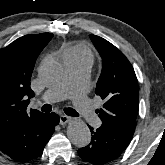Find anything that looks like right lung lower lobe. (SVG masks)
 I'll list each match as a JSON object with an SVG mask.
<instances>
[{
  "label": "right lung lower lobe",
  "mask_w": 165,
  "mask_h": 165,
  "mask_svg": "<svg viewBox=\"0 0 165 165\" xmlns=\"http://www.w3.org/2000/svg\"><path fill=\"white\" fill-rule=\"evenodd\" d=\"M60 118L56 113L42 114L0 137V150L10 158L27 162L42 155Z\"/></svg>",
  "instance_id": "right-lung-lower-lobe-1"
}]
</instances>
